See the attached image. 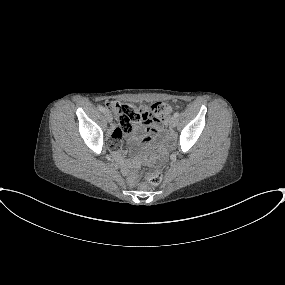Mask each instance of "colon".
<instances>
[{
	"instance_id": "1",
	"label": "colon",
	"mask_w": 285,
	"mask_h": 285,
	"mask_svg": "<svg viewBox=\"0 0 285 285\" xmlns=\"http://www.w3.org/2000/svg\"><path fill=\"white\" fill-rule=\"evenodd\" d=\"M117 120V128L122 133H130L134 126L149 120H163L170 112V107L158 102L152 105L137 106L132 103L112 102L108 104ZM146 180L157 185L162 181V172L155 170L146 174Z\"/></svg>"
}]
</instances>
